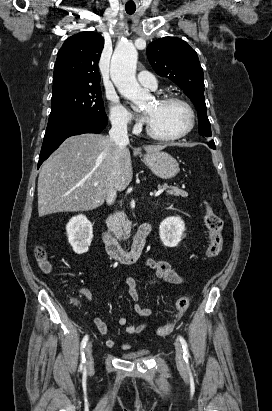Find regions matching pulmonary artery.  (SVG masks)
Wrapping results in <instances>:
<instances>
[{"label":"pulmonary artery","mask_w":272,"mask_h":411,"mask_svg":"<svg viewBox=\"0 0 272 411\" xmlns=\"http://www.w3.org/2000/svg\"><path fill=\"white\" fill-rule=\"evenodd\" d=\"M138 80L140 84L144 87H147L149 89H156L157 88V80L156 78L149 73L148 71H140L138 73Z\"/></svg>","instance_id":"pulmonary-artery-1"}]
</instances>
